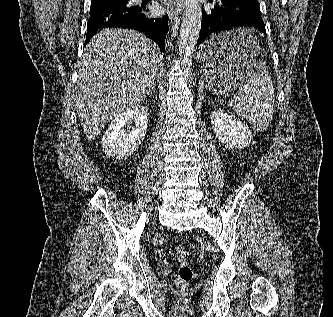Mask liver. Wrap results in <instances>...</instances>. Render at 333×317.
Returning <instances> with one entry per match:
<instances>
[{
	"mask_svg": "<svg viewBox=\"0 0 333 317\" xmlns=\"http://www.w3.org/2000/svg\"><path fill=\"white\" fill-rule=\"evenodd\" d=\"M161 57L157 45L137 31L104 29L91 38L74 98L88 140L150 93Z\"/></svg>",
	"mask_w": 333,
	"mask_h": 317,
	"instance_id": "obj_1",
	"label": "liver"
}]
</instances>
